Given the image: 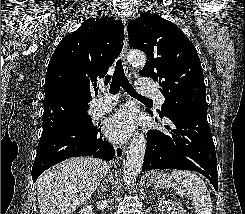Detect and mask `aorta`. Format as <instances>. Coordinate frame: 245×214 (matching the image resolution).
Wrapping results in <instances>:
<instances>
[{"instance_id":"762f6f07","label":"aorta","mask_w":245,"mask_h":214,"mask_svg":"<svg viewBox=\"0 0 245 214\" xmlns=\"http://www.w3.org/2000/svg\"><path fill=\"white\" fill-rule=\"evenodd\" d=\"M128 61L132 65L144 66L146 56L142 52L131 51L128 55ZM146 149V139L143 133L136 134L130 142L123 167L124 183L131 185L141 171Z\"/></svg>"}]
</instances>
